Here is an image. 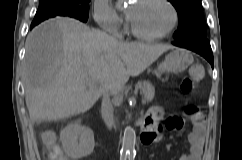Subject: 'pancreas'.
Here are the masks:
<instances>
[{"mask_svg":"<svg viewBox=\"0 0 242 160\" xmlns=\"http://www.w3.org/2000/svg\"><path fill=\"white\" fill-rule=\"evenodd\" d=\"M137 89H140L144 95V98L147 102H151L155 95V89L153 85L149 82H139L136 85Z\"/></svg>","mask_w":242,"mask_h":160,"instance_id":"obj_1","label":"pancreas"}]
</instances>
